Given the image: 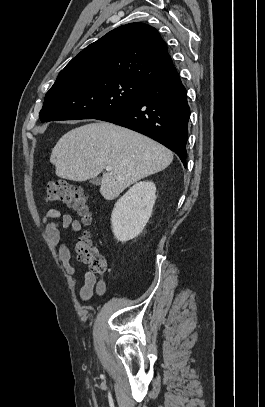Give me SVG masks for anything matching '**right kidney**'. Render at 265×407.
<instances>
[{
    "label": "right kidney",
    "instance_id": "obj_1",
    "mask_svg": "<svg viewBox=\"0 0 265 407\" xmlns=\"http://www.w3.org/2000/svg\"><path fill=\"white\" fill-rule=\"evenodd\" d=\"M156 200V186L142 181L132 186L115 204L111 215L112 231L120 242L137 237L152 214Z\"/></svg>",
    "mask_w": 265,
    "mask_h": 407
}]
</instances>
